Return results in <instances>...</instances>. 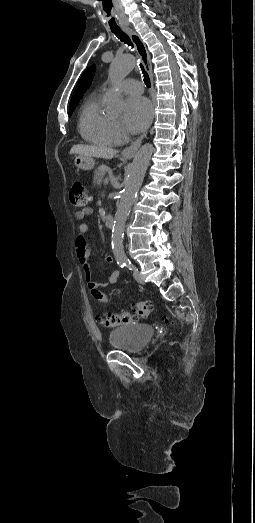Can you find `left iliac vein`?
<instances>
[{
	"label": "left iliac vein",
	"instance_id": "left-iliac-vein-1",
	"mask_svg": "<svg viewBox=\"0 0 255 523\" xmlns=\"http://www.w3.org/2000/svg\"><path fill=\"white\" fill-rule=\"evenodd\" d=\"M133 276L135 278V280L138 282V283H141V284H144V279L143 277L141 276L139 270L135 269L134 272H133Z\"/></svg>",
	"mask_w": 255,
	"mask_h": 523
}]
</instances>
